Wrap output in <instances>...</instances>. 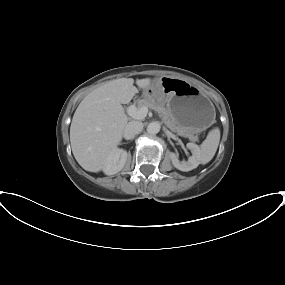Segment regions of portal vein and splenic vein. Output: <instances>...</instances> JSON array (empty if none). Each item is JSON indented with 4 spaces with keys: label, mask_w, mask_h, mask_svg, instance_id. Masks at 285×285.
I'll return each instance as SVG.
<instances>
[{
    "label": "portal vein and splenic vein",
    "mask_w": 285,
    "mask_h": 285,
    "mask_svg": "<svg viewBox=\"0 0 285 285\" xmlns=\"http://www.w3.org/2000/svg\"><path fill=\"white\" fill-rule=\"evenodd\" d=\"M127 113L129 116H131L134 119L142 120L147 116L148 108L145 106L137 108L136 106L131 105L128 107Z\"/></svg>",
    "instance_id": "1"
}]
</instances>
